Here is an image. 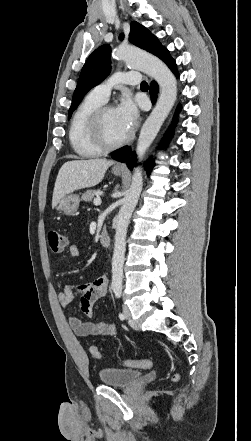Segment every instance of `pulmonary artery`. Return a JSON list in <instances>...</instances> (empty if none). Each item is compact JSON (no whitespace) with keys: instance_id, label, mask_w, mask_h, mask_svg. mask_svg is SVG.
<instances>
[{"instance_id":"obj_1","label":"pulmonary artery","mask_w":251,"mask_h":441,"mask_svg":"<svg viewBox=\"0 0 251 441\" xmlns=\"http://www.w3.org/2000/svg\"><path fill=\"white\" fill-rule=\"evenodd\" d=\"M141 81L140 74L135 71L117 72L105 82L97 85L93 92L104 100H107L111 89L117 85L130 84L137 85Z\"/></svg>"}]
</instances>
